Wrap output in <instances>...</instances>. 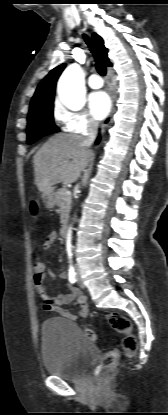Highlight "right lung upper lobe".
I'll return each mask as SVG.
<instances>
[{
    "label": "right lung upper lobe",
    "instance_id": "obj_1",
    "mask_svg": "<svg viewBox=\"0 0 168 415\" xmlns=\"http://www.w3.org/2000/svg\"><path fill=\"white\" fill-rule=\"evenodd\" d=\"M92 38L98 50L100 51L102 57L104 58L107 66H111V63L107 57L108 49L104 46L103 39L96 33L92 34ZM65 66L66 64H61L56 68L52 69L49 72V74L40 82L32 98L30 104V111L53 103L56 82L61 72L64 70Z\"/></svg>",
    "mask_w": 168,
    "mask_h": 415
}]
</instances>
